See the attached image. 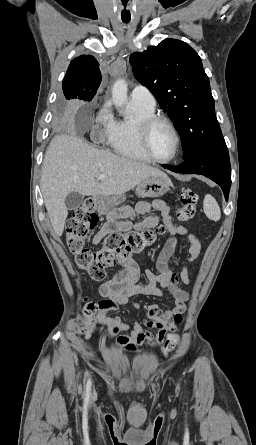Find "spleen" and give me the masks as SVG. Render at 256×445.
<instances>
[{"mask_svg":"<svg viewBox=\"0 0 256 445\" xmlns=\"http://www.w3.org/2000/svg\"><path fill=\"white\" fill-rule=\"evenodd\" d=\"M203 209L205 215L213 221H219L221 218V211L215 198L210 194H207L204 198Z\"/></svg>","mask_w":256,"mask_h":445,"instance_id":"spleen-1","label":"spleen"}]
</instances>
